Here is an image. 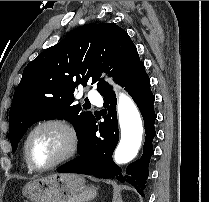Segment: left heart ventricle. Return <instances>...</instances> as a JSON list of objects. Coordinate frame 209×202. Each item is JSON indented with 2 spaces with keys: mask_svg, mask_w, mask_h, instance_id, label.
<instances>
[{
  "mask_svg": "<svg viewBox=\"0 0 209 202\" xmlns=\"http://www.w3.org/2000/svg\"><path fill=\"white\" fill-rule=\"evenodd\" d=\"M64 146L61 132L54 127H45L32 136L29 143L30 156L36 165L45 166L59 155Z\"/></svg>",
  "mask_w": 209,
  "mask_h": 202,
  "instance_id": "left-heart-ventricle-1",
  "label": "left heart ventricle"
}]
</instances>
